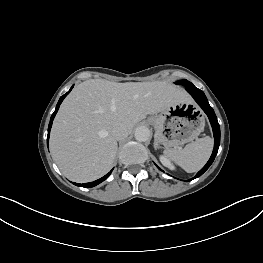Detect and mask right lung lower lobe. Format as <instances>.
I'll return each mask as SVG.
<instances>
[{
    "instance_id": "98d812e1",
    "label": "right lung lower lobe",
    "mask_w": 263,
    "mask_h": 263,
    "mask_svg": "<svg viewBox=\"0 0 263 263\" xmlns=\"http://www.w3.org/2000/svg\"><path fill=\"white\" fill-rule=\"evenodd\" d=\"M72 88H73V86L71 87V89H72ZM71 89H70L66 94H64L63 96H61V98L59 99V101H58V103H57L56 109H55L54 113H53L52 116H51L50 123H49V126H48L47 142H48V140H49V135H50V129H51V126H52V121H53V119H54V117H55V115H56V113H57V111H58V109H59L60 104L62 103V101L64 100V98L69 94V92L71 91ZM111 172H112V170H111L108 174H106L105 176H103L102 178H100V179H98V180H96V181H94V182L82 184V187H88V188H89V187H94V186L98 185L99 183L103 182V181L111 174ZM73 184H75V185H77V186H80V184H76V183H73Z\"/></svg>"
}]
</instances>
